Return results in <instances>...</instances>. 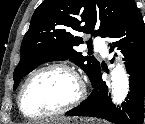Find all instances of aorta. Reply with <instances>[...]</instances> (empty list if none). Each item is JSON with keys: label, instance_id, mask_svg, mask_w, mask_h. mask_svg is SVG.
<instances>
[{"label": "aorta", "instance_id": "1", "mask_svg": "<svg viewBox=\"0 0 145 124\" xmlns=\"http://www.w3.org/2000/svg\"><path fill=\"white\" fill-rule=\"evenodd\" d=\"M111 87L114 104H121L129 92V78L122 64H117L111 72Z\"/></svg>", "mask_w": 145, "mask_h": 124}]
</instances>
